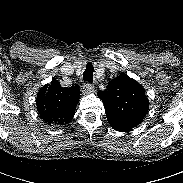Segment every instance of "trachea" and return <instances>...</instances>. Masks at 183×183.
I'll return each mask as SVG.
<instances>
[{
  "label": "trachea",
  "mask_w": 183,
  "mask_h": 183,
  "mask_svg": "<svg viewBox=\"0 0 183 183\" xmlns=\"http://www.w3.org/2000/svg\"><path fill=\"white\" fill-rule=\"evenodd\" d=\"M93 72H94V67L92 63H88L83 73V80L86 82H93Z\"/></svg>",
  "instance_id": "1"
}]
</instances>
